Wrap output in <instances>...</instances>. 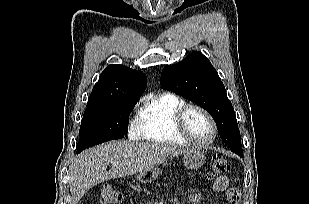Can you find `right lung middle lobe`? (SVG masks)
Listing matches in <instances>:
<instances>
[{
  "label": "right lung middle lobe",
  "mask_w": 309,
  "mask_h": 204,
  "mask_svg": "<svg viewBox=\"0 0 309 204\" xmlns=\"http://www.w3.org/2000/svg\"><path fill=\"white\" fill-rule=\"evenodd\" d=\"M139 99H114L87 104L79 131L77 153L91 146L120 139L128 132L129 115Z\"/></svg>",
  "instance_id": "1"
}]
</instances>
